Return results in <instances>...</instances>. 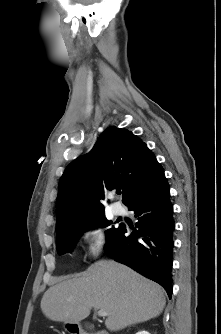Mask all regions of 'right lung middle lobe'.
<instances>
[{
  "mask_svg": "<svg viewBox=\"0 0 221 334\" xmlns=\"http://www.w3.org/2000/svg\"><path fill=\"white\" fill-rule=\"evenodd\" d=\"M111 223V221H107L104 216L101 215L85 223L72 225L66 228L60 235L56 237V247L58 253L64 254L65 252H71L73 246L83 231L97 226L106 227ZM122 226L123 225H120L118 228L112 227L106 231L107 243L105 245V249L109 247L115 240Z\"/></svg>",
  "mask_w": 221,
  "mask_h": 334,
  "instance_id": "dd1d6c3e",
  "label": "right lung middle lobe"
}]
</instances>
